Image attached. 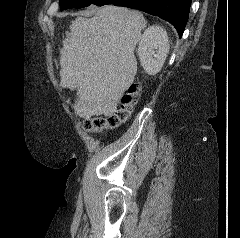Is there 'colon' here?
<instances>
[{
    "mask_svg": "<svg viewBox=\"0 0 240 238\" xmlns=\"http://www.w3.org/2000/svg\"><path fill=\"white\" fill-rule=\"evenodd\" d=\"M140 89L141 88L138 83L130 85L121 100L120 108L115 114L108 117H94L87 119L84 123L85 128L91 132H101L104 130L114 129L120 124L126 122L129 119L134 106L138 102Z\"/></svg>",
    "mask_w": 240,
    "mask_h": 238,
    "instance_id": "colon-1",
    "label": "colon"
}]
</instances>
